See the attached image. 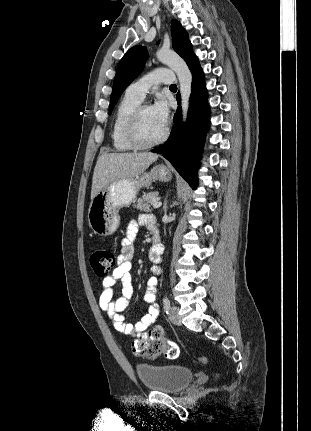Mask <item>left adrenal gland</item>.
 Returning a JSON list of instances; mask_svg holds the SVG:
<instances>
[{
    "label": "left adrenal gland",
    "instance_id": "left-adrenal-gland-1",
    "mask_svg": "<svg viewBox=\"0 0 311 431\" xmlns=\"http://www.w3.org/2000/svg\"><path fill=\"white\" fill-rule=\"evenodd\" d=\"M163 208H164L165 214H167V200H165Z\"/></svg>",
    "mask_w": 311,
    "mask_h": 431
}]
</instances>
